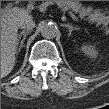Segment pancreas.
<instances>
[{
    "mask_svg": "<svg viewBox=\"0 0 109 109\" xmlns=\"http://www.w3.org/2000/svg\"><path fill=\"white\" fill-rule=\"evenodd\" d=\"M52 3L57 4L63 11L70 9L77 13L81 19L102 25L103 30L108 31L109 18L104 12H101V10L93 9L91 6L85 7L79 1H52Z\"/></svg>",
    "mask_w": 109,
    "mask_h": 109,
    "instance_id": "obj_1",
    "label": "pancreas"
}]
</instances>
